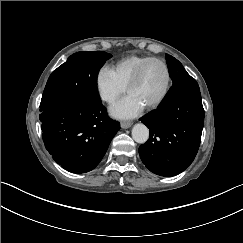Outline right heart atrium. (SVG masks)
<instances>
[{
	"mask_svg": "<svg viewBox=\"0 0 243 243\" xmlns=\"http://www.w3.org/2000/svg\"><path fill=\"white\" fill-rule=\"evenodd\" d=\"M94 85L99 99L104 102H114L125 93V87L118 82L113 69L108 65H101L97 69Z\"/></svg>",
	"mask_w": 243,
	"mask_h": 243,
	"instance_id": "right-heart-atrium-1",
	"label": "right heart atrium"
}]
</instances>
